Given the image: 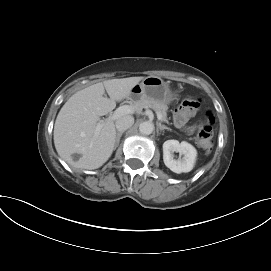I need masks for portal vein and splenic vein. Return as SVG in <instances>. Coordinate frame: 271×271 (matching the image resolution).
I'll list each match as a JSON object with an SVG mask.
<instances>
[{
	"mask_svg": "<svg viewBox=\"0 0 271 271\" xmlns=\"http://www.w3.org/2000/svg\"><path fill=\"white\" fill-rule=\"evenodd\" d=\"M136 107L134 106H130V105H123V106H120L119 108H117L115 110V112L110 115L105 121H100L98 124H97V128H96V133L95 134H98V132L100 131V129L102 128L103 124L104 123H109V122H113L115 121L116 119L120 118L121 116H124V115H127V114H132L135 112ZM157 118L158 120H162V115L161 113H157Z\"/></svg>",
	"mask_w": 271,
	"mask_h": 271,
	"instance_id": "1",
	"label": "portal vein and splenic vein"
}]
</instances>
